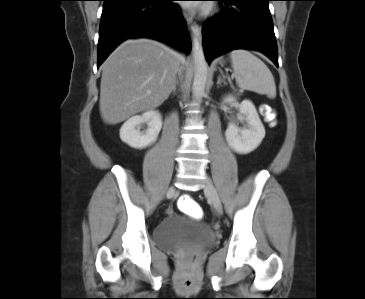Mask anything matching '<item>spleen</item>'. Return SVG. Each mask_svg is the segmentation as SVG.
Returning a JSON list of instances; mask_svg holds the SVG:
<instances>
[{
  "mask_svg": "<svg viewBox=\"0 0 365 299\" xmlns=\"http://www.w3.org/2000/svg\"><path fill=\"white\" fill-rule=\"evenodd\" d=\"M230 58L233 76L241 89L275 98L276 85L273 75L261 59L244 49L232 51Z\"/></svg>",
  "mask_w": 365,
  "mask_h": 299,
  "instance_id": "3e777b00",
  "label": "spleen"
}]
</instances>
